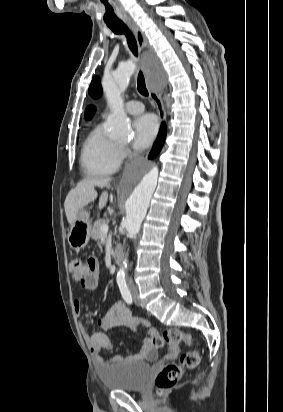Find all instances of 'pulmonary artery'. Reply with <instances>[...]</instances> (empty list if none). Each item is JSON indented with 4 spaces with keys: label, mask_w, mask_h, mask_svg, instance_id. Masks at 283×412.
I'll return each mask as SVG.
<instances>
[{
    "label": "pulmonary artery",
    "mask_w": 283,
    "mask_h": 412,
    "mask_svg": "<svg viewBox=\"0 0 283 412\" xmlns=\"http://www.w3.org/2000/svg\"><path fill=\"white\" fill-rule=\"evenodd\" d=\"M125 111L130 115H137L144 111V105L140 101L132 100L125 104ZM106 116V113L102 115L103 118Z\"/></svg>",
    "instance_id": "e3ab8cb5"
}]
</instances>
